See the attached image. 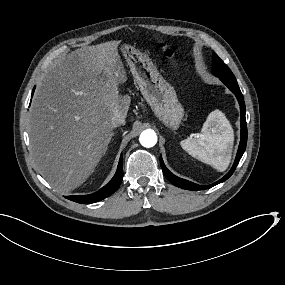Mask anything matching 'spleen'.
I'll return each instance as SVG.
<instances>
[{
    "instance_id": "1",
    "label": "spleen",
    "mask_w": 285,
    "mask_h": 285,
    "mask_svg": "<svg viewBox=\"0 0 285 285\" xmlns=\"http://www.w3.org/2000/svg\"><path fill=\"white\" fill-rule=\"evenodd\" d=\"M232 130L219 111L210 112L200 133L179 142L181 148L216 171H224L229 163Z\"/></svg>"
}]
</instances>
